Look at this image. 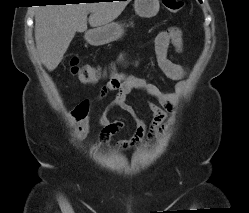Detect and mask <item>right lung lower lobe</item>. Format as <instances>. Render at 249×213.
<instances>
[{"label": "right lung lower lobe", "mask_w": 249, "mask_h": 213, "mask_svg": "<svg viewBox=\"0 0 249 213\" xmlns=\"http://www.w3.org/2000/svg\"><path fill=\"white\" fill-rule=\"evenodd\" d=\"M65 1L66 0H47V2L60 3V4L66 3Z\"/></svg>", "instance_id": "1"}]
</instances>
